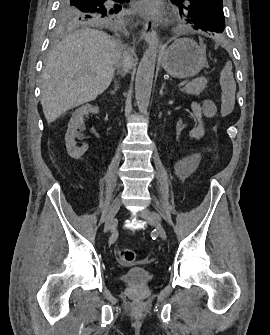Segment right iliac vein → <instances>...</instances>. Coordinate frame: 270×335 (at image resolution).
Wrapping results in <instances>:
<instances>
[{
	"mask_svg": "<svg viewBox=\"0 0 270 335\" xmlns=\"http://www.w3.org/2000/svg\"><path fill=\"white\" fill-rule=\"evenodd\" d=\"M121 206V202L120 199H115L114 202L111 205V208L109 210L104 228H103V232L107 233L110 230H114L116 227V219L115 216L117 214V212L119 211Z\"/></svg>",
	"mask_w": 270,
	"mask_h": 335,
	"instance_id": "63e3f726",
	"label": "right iliac vein"
}]
</instances>
